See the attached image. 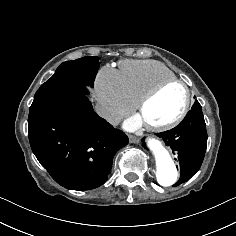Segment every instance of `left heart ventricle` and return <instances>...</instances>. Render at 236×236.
<instances>
[{
    "mask_svg": "<svg viewBox=\"0 0 236 236\" xmlns=\"http://www.w3.org/2000/svg\"><path fill=\"white\" fill-rule=\"evenodd\" d=\"M185 100L186 93L181 85H169L140 112L144 124L162 125L174 120L182 111Z\"/></svg>",
    "mask_w": 236,
    "mask_h": 236,
    "instance_id": "b2bd125f",
    "label": "left heart ventricle"
}]
</instances>
